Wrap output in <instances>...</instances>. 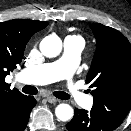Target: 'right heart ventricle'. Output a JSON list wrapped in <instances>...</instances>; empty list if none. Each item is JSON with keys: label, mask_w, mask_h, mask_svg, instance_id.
Wrapping results in <instances>:
<instances>
[{"label": "right heart ventricle", "mask_w": 131, "mask_h": 131, "mask_svg": "<svg viewBox=\"0 0 131 131\" xmlns=\"http://www.w3.org/2000/svg\"><path fill=\"white\" fill-rule=\"evenodd\" d=\"M69 37H74V38H78L77 36H69Z\"/></svg>", "instance_id": "1"}]
</instances>
